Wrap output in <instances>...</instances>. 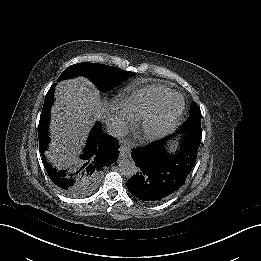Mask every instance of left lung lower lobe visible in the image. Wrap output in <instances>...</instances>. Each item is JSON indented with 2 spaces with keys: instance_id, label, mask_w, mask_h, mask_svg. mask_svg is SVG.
<instances>
[{
  "instance_id": "obj_1",
  "label": "left lung lower lobe",
  "mask_w": 261,
  "mask_h": 261,
  "mask_svg": "<svg viewBox=\"0 0 261 261\" xmlns=\"http://www.w3.org/2000/svg\"><path fill=\"white\" fill-rule=\"evenodd\" d=\"M167 137L148 146L134 149L131 153L139 172L127 182V188L145 202H160L172 196L191 172L200 142L187 136L181 153L175 157L165 154Z\"/></svg>"
}]
</instances>
